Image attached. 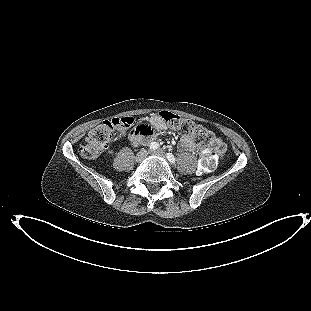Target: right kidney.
<instances>
[{
    "mask_svg": "<svg viewBox=\"0 0 311 311\" xmlns=\"http://www.w3.org/2000/svg\"><path fill=\"white\" fill-rule=\"evenodd\" d=\"M108 153H109V154H113V150H109Z\"/></svg>",
    "mask_w": 311,
    "mask_h": 311,
    "instance_id": "obj_1",
    "label": "right kidney"
}]
</instances>
